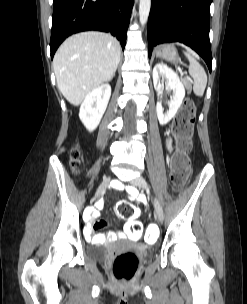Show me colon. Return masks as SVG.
I'll list each match as a JSON object with an SVG mask.
<instances>
[{"label": "colon", "instance_id": "colon-1", "mask_svg": "<svg viewBox=\"0 0 247 304\" xmlns=\"http://www.w3.org/2000/svg\"><path fill=\"white\" fill-rule=\"evenodd\" d=\"M196 106L191 99L183 102L180 110L172 122V134L176 140V151L171 157L169 171L170 180L175 188L185 185L191 170V162L188 153L191 149V138L195 120ZM79 152L73 148L70 152L73 172L78 171ZM117 213L120 217L129 220L126 233L130 235V241H142L143 226L136 220L137 208L129 202L122 201L117 205ZM149 238H160L158 224H147ZM144 246H153V239H144ZM138 257L134 252H124L116 256L112 265L113 275L118 281L127 282L133 278L138 267Z\"/></svg>", "mask_w": 247, "mask_h": 304}]
</instances>
